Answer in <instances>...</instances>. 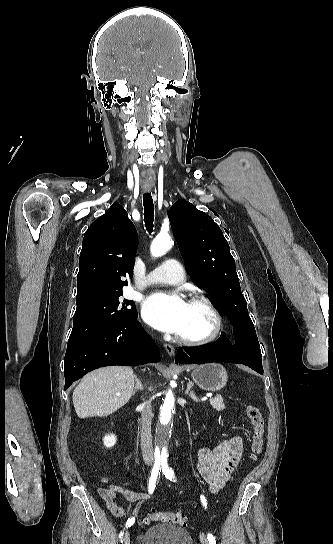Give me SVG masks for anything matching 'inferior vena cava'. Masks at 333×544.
I'll list each match as a JSON object with an SVG mask.
<instances>
[{
    "instance_id": "obj_1",
    "label": "inferior vena cava",
    "mask_w": 333,
    "mask_h": 544,
    "mask_svg": "<svg viewBox=\"0 0 333 544\" xmlns=\"http://www.w3.org/2000/svg\"><path fill=\"white\" fill-rule=\"evenodd\" d=\"M141 450L146 465L153 463V447L151 435L152 409L151 403L145 402L142 410Z\"/></svg>"
}]
</instances>
